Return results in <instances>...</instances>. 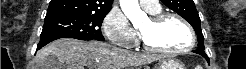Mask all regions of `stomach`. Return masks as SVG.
I'll list each match as a JSON object with an SVG mask.
<instances>
[{
    "label": "stomach",
    "instance_id": "stomach-1",
    "mask_svg": "<svg viewBox=\"0 0 246 69\" xmlns=\"http://www.w3.org/2000/svg\"><path fill=\"white\" fill-rule=\"evenodd\" d=\"M155 69H185L180 61L172 58L162 59Z\"/></svg>",
    "mask_w": 246,
    "mask_h": 69
}]
</instances>
